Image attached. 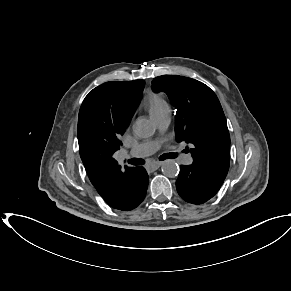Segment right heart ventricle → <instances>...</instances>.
<instances>
[{
    "label": "right heart ventricle",
    "mask_w": 291,
    "mask_h": 291,
    "mask_svg": "<svg viewBox=\"0 0 291 291\" xmlns=\"http://www.w3.org/2000/svg\"><path fill=\"white\" fill-rule=\"evenodd\" d=\"M145 106L151 116L169 110V105L166 100L160 94L151 91L147 94L145 99Z\"/></svg>",
    "instance_id": "1"
}]
</instances>
